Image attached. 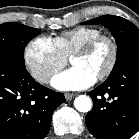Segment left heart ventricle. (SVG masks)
<instances>
[{"instance_id":"b2bd125f","label":"left heart ventricle","mask_w":139,"mask_h":139,"mask_svg":"<svg viewBox=\"0 0 139 139\" xmlns=\"http://www.w3.org/2000/svg\"><path fill=\"white\" fill-rule=\"evenodd\" d=\"M111 55V49L107 42L100 43L93 51L71 58L73 66H79L96 77L106 68Z\"/></svg>"}]
</instances>
